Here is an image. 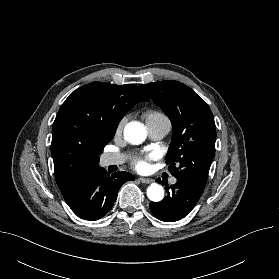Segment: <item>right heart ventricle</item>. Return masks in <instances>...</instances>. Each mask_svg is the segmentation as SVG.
I'll use <instances>...</instances> for the list:
<instances>
[{"mask_svg":"<svg viewBox=\"0 0 279 279\" xmlns=\"http://www.w3.org/2000/svg\"><path fill=\"white\" fill-rule=\"evenodd\" d=\"M146 124L159 122L168 119L163 113L156 110H148L143 113Z\"/></svg>","mask_w":279,"mask_h":279,"instance_id":"right-heart-ventricle-1","label":"right heart ventricle"}]
</instances>
